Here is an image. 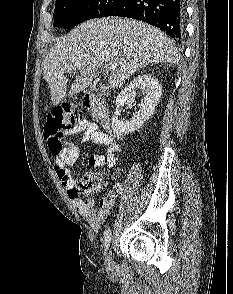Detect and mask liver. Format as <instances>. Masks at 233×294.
Wrapping results in <instances>:
<instances>
[{"instance_id": "6515ba94", "label": "liver", "mask_w": 233, "mask_h": 294, "mask_svg": "<svg viewBox=\"0 0 233 294\" xmlns=\"http://www.w3.org/2000/svg\"><path fill=\"white\" fill-rule=\"evenodd\" d=\"M166 62L177 64L179 54L162 31L132 19L101 18L80 24L57 41L45 58L43 77L50 87L52 104L57 105L66 95L65 74L76 69L80 74L69 96L87 89L103 65L115 67L108 83L119 88L140 68Z\"/></svg>"}]
</instances>
